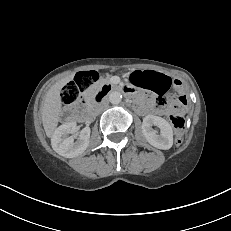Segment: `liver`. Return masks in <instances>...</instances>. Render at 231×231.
I'll use <instances>...</instances> for the list:
<instances>
[{
  "label": "liver",
  "instance_id": "obj_1",
  "mask_svg": "<svg viewBox=\"0 0 231 231\" xmlns=\"http://www.w3.org/2000/svg\"><path fill=\"white\" fill-rule=\"evenodd\" d=\"M74 74H71L58 82H56L47 91L44 101L41 106L42 123L46 135L51 138L56 130L59 122L60 113L62 110L61 89L73 79Z\"/></svg>",
  "mask_w": 231,
  "mask_h": 231
}]
</instances>
